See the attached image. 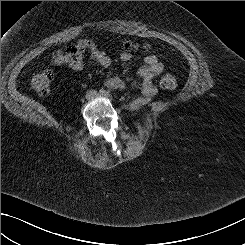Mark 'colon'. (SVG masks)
<instances>
[{
  "mask_svg": "<svg viewBox=\"0 0 245 245\" xmlns=\"http://www.w3.org/2000/svg\"><path fill=\"white\" fill-rule=\"evenodd\" d=\"M143 49L149 50L150 45L144 43L142 45L131 41H125L123 43V50L128 52H134L136 50ZM66 53H73V48L69 47L65 50ZM60 54V51L56 52L54 56ZM53 80V74L48 69H42L36 73L30 75L28 83L30 88L40 97H46L50 92L51 82ZM160 86L165 90H173L177 87V79L172 74L164 75L160 80Z\"/></svg>",
  "mask_w": 245,
  "mask_h": 245,
  "instance_id": "1",
  "label": "colon"
}]
</instances>
